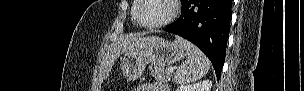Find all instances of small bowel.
<instances>
[{
    "label": "small bowel",
    "instance_id": "c3829d8e",
    "mask_svg": "<svg viewBox=\"0 0 304 91\" xmlns=\"http://www.w3.org/2000/svg\"><path fill=\"white\" fill-rule=\"evenodd\" d=\"M137 91H168V87L162 82H149L141 85Z\"/></svg>",
    "mask_w": 304,
    "mask_h": 91
}]
</instances>
